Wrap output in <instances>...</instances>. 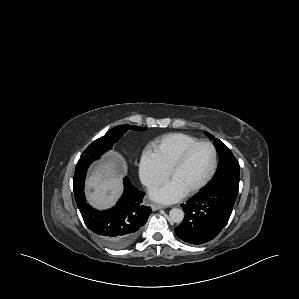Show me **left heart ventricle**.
Instances as JSON below:
<instances>
[{"instance_id":"obj_1","label":"left heart ventricle","mask_w":299,"mask_h":299,"mask_svg":"<svg viewBox=\"0 0 299 299\" xmlns=\"http://www.w3.org/2000/svg\"><path fill=\"white\" fill-rule=\"evenodd\" d=\"M213 165V151L208 145H201L189 156L186 163L175 172L172 181L185 191L200 183Z\"/></svg>"}]
</instances>
